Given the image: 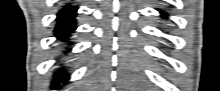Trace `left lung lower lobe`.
Wrapping results in <instances>:
<instances>
[{"label":"left lung lower lobe","instance_id":"0a47b994","mask_svg":"<svg viewBox=\"0 0 220 91\" xmlns=\"http://www.w3.org/2000/svg\"><path fill=\"white\" fill-rule=\"evenodd\" d=\"M164 16H166V14L165 13H162Z\"/></svg>","mask_w":220,"mask_h":91}]
</instances>
